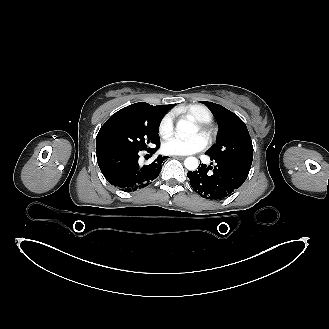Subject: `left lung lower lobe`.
Instances as JSON below:
<instances>
[{
  "label": "left lung lower lobe",
  "instance_id": "1",
  "mask_svg": "<svg viewBox=\"0 0 329 329\" xmlns=\"http://www.w3.org/2000/svg\"><path fill=\"white\" fill-rule=\"evenodd\" d=\"M211 160L216 163L214 169L202 164L198 170L188 172L187 176L192 188L201 197L222 200L231 196L245 182L250 168L227 160ZM209 169L213 170L211 175L207 174Z\"/></svg>",
  "mask_w": 329,
  "mask_h": 329
}]
</instances>
